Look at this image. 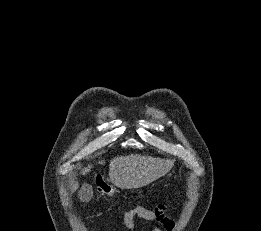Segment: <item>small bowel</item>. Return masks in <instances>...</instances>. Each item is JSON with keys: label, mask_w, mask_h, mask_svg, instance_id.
I'll return each mask as SVG.
<instances>
[{"label": "small bowel", "mask_w": 261, "mask_h": 231, "mask_svg": "<svg viewBox=\"0 0 261 231\" xmlns=\"http://www.w3.org/2000/svg\"><path fill=\"white\" fill-rule=\"evenodd\" d=\"M136 218L152 223L160 222L167 231H172L175 226L174 221L167 216L165 206L162 205H159L154 210L146 208L143 205H136L121 216V221L129 231H135ZM152 231H161V229L154 226Z\"/></svg>", "instance_id": "small-bowel-1"}]
</instances>
